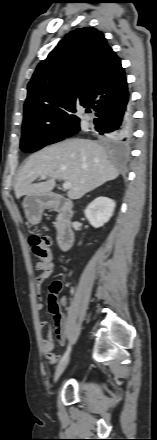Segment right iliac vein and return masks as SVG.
<instances>
[{
    "label": "right iliac vein",
    "mask_w": 157,
    "mask_h": 440,
    "mask_svg": "<svg viewBox=\"0 0 157 440\" xmlns=\"http://www.w3.org/2000/svg\"><path fill=\"white\" fill-rule=\"evenodd\" d=\"M69 363V358H66L62 363H60L56 370H55V374H54V382H56L59 377L61 376V374L64 372L65 368L67 367Z\"/></svg>",
    "instance_id": "63e3f726"
}]
</instances>
